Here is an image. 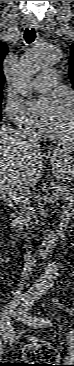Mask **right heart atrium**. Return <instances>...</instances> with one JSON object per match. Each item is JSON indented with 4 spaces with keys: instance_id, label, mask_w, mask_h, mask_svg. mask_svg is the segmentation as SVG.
Returning <instances> with one entry per match:
<instances>
[{
    "instance_id": "obj_1",
    "label": "right heart atrium",
    "mask_w": 74,
    "mask_h": 366,
    "mask_svg": "<svg viewBox=\"0 0 74 366\" xmlns=\"http://www.w3.org/2000/svg\"><path fill=\"white\" fill-rule=\"evenodd\" d=\"M5 112L7 116L21 129H30V124L28 123L26 118H22L20 113V104L17 101L12 99H8Z\"/></svg>"
}]
</instances>
